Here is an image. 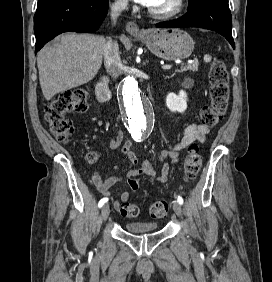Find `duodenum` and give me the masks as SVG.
<instances>
[{
    "instance_id": "duodenum-1",
    "label": "duodenum",
    "mask_w": 272,
    "mask_h": 282,
    "mask_svg": "<svg viewBox=\"0 0 272 282\" xmlns=\"http://www.w3.org/2000/svg\"><path fill=\"white\" fill-rule=\"evenodd\" d=\"M96 98L101 103H109L111 99V93L108 88V78L103 77L99 80L95 89Z\"/></svg>"
}]
</instances>
